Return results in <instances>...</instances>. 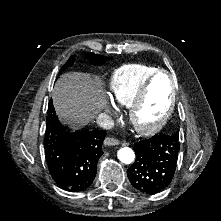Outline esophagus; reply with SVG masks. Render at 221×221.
Returning a JSON list of instances; mask_svg holds the SVG:
<instances>
[{"label": "esophagus", "mask_w": 221, "mask_h": 221, "mask_svg": "<svg viewBox=\"0 0 221 221\" xmlns=\"http://www.w3.org/2000/svg\"><path fill=\"white\" fill-rule=\"evenodd\" d=\"M104 144L107 146H116V145H119L120 142L117 139H114L112 137H106L104 139Z\"/></svg>", "instance_id": "obj_1"}]
</instances>
